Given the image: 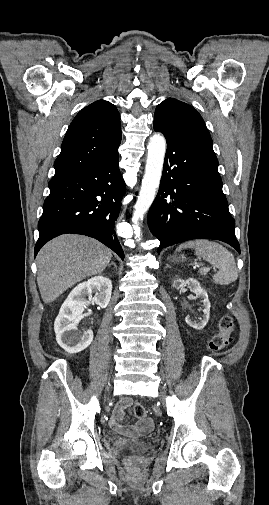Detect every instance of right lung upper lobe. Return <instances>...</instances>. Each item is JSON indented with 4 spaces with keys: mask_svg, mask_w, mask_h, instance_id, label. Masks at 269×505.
<instances>
[{
    "mask_svg": "<svg viewBox=\"0 0 269 505\" xmlns=\"http://www.w3.org/2000/svg\"><path fill=\"white\" fill-rule=\"evenodd\" d=\"M120 116L108 101L98 100L83 108L70 124L54 163L55 175L63 174L118 151Z\"/></svg>",
    "mask_w": 269,
    "mask_h": 505,
    "instance_id": "1",
    "label": "right lung upper lobe"
}]
</instances>
